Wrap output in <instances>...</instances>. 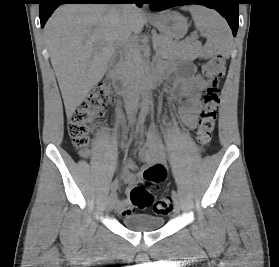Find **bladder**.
<instances>
[{
	"instance_id": "obj_1",
	"label": "bladder",
	"mask_w": 279,
	"mask_h": 267,
	"mask_svg": "<svg viewBox=\"0 0 279 267\" xmlns=\"http://www.w3.org/2000/svg\"><path fill=\"white\" fill-rule=\"evenodd\" d=\"M122 224L132 231H156L162 228L164 219L146 214H129L123 216Z\"/></svg>"
}]
</instances>
